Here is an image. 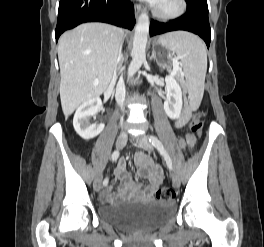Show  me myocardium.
<instances>
[{"label": "myocardium", "mask_w": 264, "mask_h": 247, "mask_svg": "<svg viewBox=\"0 0 264 247\" xmlns=\"http://www.w3.org/2000/svg\"><path fill=\"white\" fill-rule=\"evenodd\" d=\"M175 6L172 10L163 12L158 9L157 5L152 9L153 15L161 20H172L181 17L187 10L186 0H174Z\"/></svg>", "instance_id": "myocardium-1"}]
</instances>
